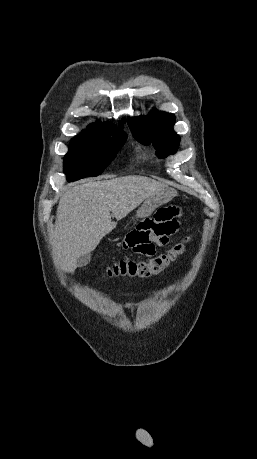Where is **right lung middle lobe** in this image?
Wrapping results in <instances>:
<instances>
[{"label": "right lung middle lobe", "mask_w": 257, "mask_h": 459, "mask_svg": "<svg viewBox=\"0 0 257 459\" xmlns=\"http://www.w3.org/2000/svg\"><path fill=\"white\" fill-rule=\"evenodd\" d=\"M110 136H113L109 138ZM127 135L123 131L91 133L83 131L71 140L65 155L64 172L68 181L97 176L114 159L124 145Z\"/></svg>", "instance_id": "1"}]
</instances>
